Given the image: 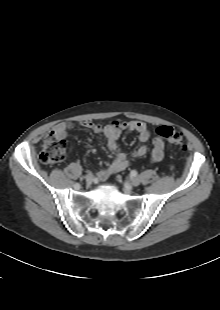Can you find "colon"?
<instances>
[{
	"label": "colon",
	"mask_w": 220,
	"mask_h": 310,
	"mask_svg": "<svg viewBox=\"0 0 220 310\" xmlns=\"http://www.w3.org/2000/svg\"><path fill=\"white\" fill-rule=\"evenodd\" d=\"M159 137L166 139L171 144L182 145V133L171 126H159L156 129ZM66 149L64 141L55 132L48 133L43 141L40 157L43 162L53 164L61 162L65 159Z\"/></svg>",
	"instance_id": "colon-1"
}]
</instances>
